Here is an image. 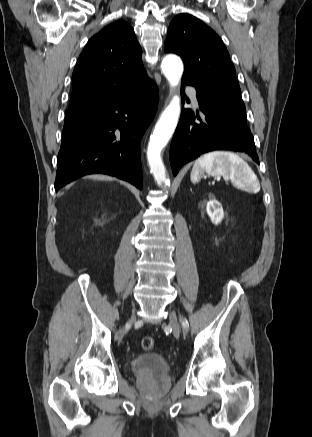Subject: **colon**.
<instances>
[{"label":"colon","instance_id":"obj_1","mask_svg":"<svg viewBox=\"0 0 312 437\" xmlns=\"http://www.w3.org/2000/svg\"><path fill=\"white\" fill-rule=\"evenodd\" d=\"M141 347L145 351H152L155 347V340L152 337H143L141 339Z\"/></svg>","mask_w":312,"mask_h":437}]
</instances>
